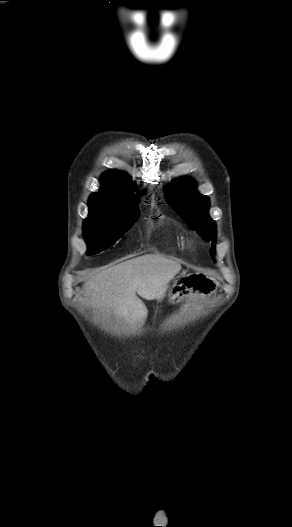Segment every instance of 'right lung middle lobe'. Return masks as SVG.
Masks as SVG:
<instances>
[{
    "instance_id": "right-lung-middle-lobe-1",
    "label": "right lung middle lobe",
    "mask_w": 292,
    "mask_h": 527,
    "mask_svg": "<svg viewBox=\"0 0 292 527\" xmlns=\"http://www.w3.org/2000/svg\"><path fill=\"white\" fill-rule=\"evenodd\" d=\"M138 216L137 205L111 204L90 198L89 216L83 223L87 255L97 254L112 246L133 226Z\"/></svg>"
}]
</instances>
